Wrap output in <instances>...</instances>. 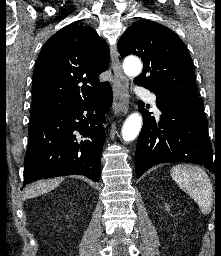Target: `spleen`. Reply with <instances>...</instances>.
<instances>
[{"label":"spleen","mask_w":221,"mask_h":256,"mask_svg":"<svg viewBox=\"0 0 221 256\" xmlns=\"http://www.w3.org/2000/svg\"><path fill=\"white\" fill-rule=\"evenodd\" d=\"M171 176L178 186L194 199L204 215L211 211L213 187L204 170L191 165H176L171 170Z\"/></svg>","instance_id":"1"}]
</instances>
